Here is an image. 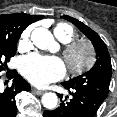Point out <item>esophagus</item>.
I'll return each mask as SVG.
<instances>
[{"instance_id":"1","label":"esophagus","mask_w":117,"mask_h":117,"mask_svg":"<svg viewBox=\"0 0 117 117\" xmlns=\"http://www.w3.org/2000/svg\"><path fill=\"white\" fill-rule=\"evenodd\" d=\"M32 91L37 95H42L44 93V91H41V90H38V89H35V88H33Z\"/></svg>"}]
</instances>
